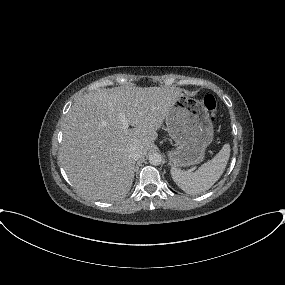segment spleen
I'll use <instances>...</instances> for the list:
<instances>
[{
	"label": "spleen",
	"mask_w": 285,
	"mask_h": 285,
	"mask_svg": "<svg viewBox=\"0 0 285 285\" xmlns=\"http://www.w3.org/2000/svg\"><path fill=\"white\" fill-rule=\"evenodd\" d=\"M230 145L224 144L216 156L204 163L198 170L183 171L172 167L173 181L185 193L195 195L210 189L223 174L230 157Z\"/></svg>",
	"instance_id": "3e777b00"
}]
</instances>
